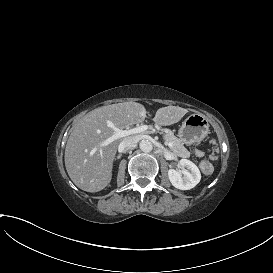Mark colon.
Wrapping results in <instances>:
<instances>
[{
    "label": "colon",
    "instance_id": "5ec220e1",
    "mask_svg": "<svg viewBox=\"0 0 273 273\" xmlns=\"http://www.w3.org/2000/svg\"><path fill=\"white\" fill-rule=\"evenodd\" d=\"M216 155H217V149L214 148L211 157L216 158Z\"/></svg>",
    "mask_w": 273,
    "mask_h": 273
}]
</instances>
